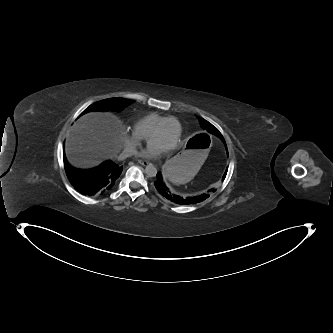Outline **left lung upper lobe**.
I'll return each instance as SVG.
<instances>
[{
    "label": "left lung upper lobe",
    "mask_w": 333,
    "mask_h": 333,
    "mask_svg": "<svg viewBox=\"0 0 333 333\" xmlns=\"http://www.w3.org/2000/svg\"><path fill=\"white\" fill-rule=\"evenodd\" d=\"M200 123L203 126V128L206 129L208 132L216 135L217 137H221L222 136L221 133L211 123H209L208 121L200 118ZM225 176H226V173L224 175V178H225Z\"/></svg>",
    "instance_id": "left-lung-upper-lobe-1"
}]
</instances>
